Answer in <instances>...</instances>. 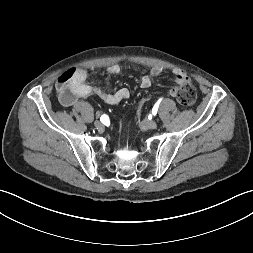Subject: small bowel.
<instances>
[{"label": "small bowel", "mask_w": 253, "mask_h": 253, "mask_svg": "<svg viewBox=\"0 0 253 253\" xmlns=\"http://www.w3.org/2000/svg\"><path fill=\"white\" fill-rule=\"evenodd\" d=\"M109 74L117 75L121 72V66L118 64H112L107 69ZM163 71L160 66H154L149 74L140 76L139 85L142 88L149 87L154 79L159 76ZM176 84L180 87L185 84H190V79L185 72L179 69L172 71ZM87 71L85 69H77L74 71V76L70 83V96L67 99H61V103L64 106L74 105L78 99L87 98L91 95L98 96L102 101L108 105H118L122 101L126 100L130 96V91L127 88H120L114 93H108L100 87H94L86 82ZM177 87L170 89L171 96H176Z\"/></svg>", "instance_id": "1"}]
</instances>
